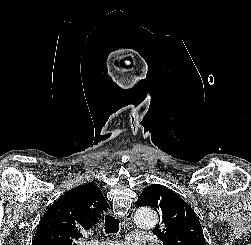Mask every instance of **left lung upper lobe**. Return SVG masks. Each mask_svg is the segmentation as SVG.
<instances>
[{
	"mask_svg": "<svg viewBox=\"0 0 251 245\" xmlns=\"http://www.w3.org/2000/svg\"><path fill=\"white\" fill-rule=\"evenodd\" d=\"M137 206L153 207L159 216L154 234L163 245H205L199 219L192 208L172 190L159 184L147 186Z\"/></svg>",
	"mask_w": 251,
	"mask_h": 245,
	"instance_id": "obj_1",
	"label": "left lung upper lobe"
}]
</instances>
